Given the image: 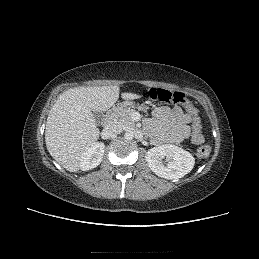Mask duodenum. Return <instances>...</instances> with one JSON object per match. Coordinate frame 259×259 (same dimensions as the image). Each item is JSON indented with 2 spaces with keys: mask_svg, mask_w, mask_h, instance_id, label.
Segmentation results:
<instances>
[{
  "mask_svg": "<svg viewBox=\"0 0 259 259\" xmlns=\"http://www.w3.org/2000/svg\"><path fill=\"white\" fill-rule=\"evenodd\" d=\"M121 107H122V105L118 104V105L114 106L111 111L108 112V114L106 115L104 122H103L104 127H109L112 124L115 112L118 109H120Z\"/></svg>",
  "mask_w": 259,
  "mask_h": 259,
  "instance_id": "obj_1",
  "label": "duodenum"
}]
</instances>
